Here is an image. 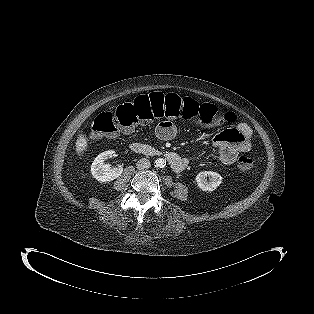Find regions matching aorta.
Here are the masks:
<instances>
[{
  "label": "aorta",
  "instance_id": "1",
  "mask_svg": "<svg viewBox=\"0 0 314 314\" xmlns=\"http://www.w3.org/2000/svg\"><path fill=\"white\" fill-rule=\"evenodd\" d=\"M155 166L158 168H163L166 166V160L163 158H158L155 160Z\"/></svg>",
  "mask_w": 314,
  "mask_h": 314
}]
</instances>
